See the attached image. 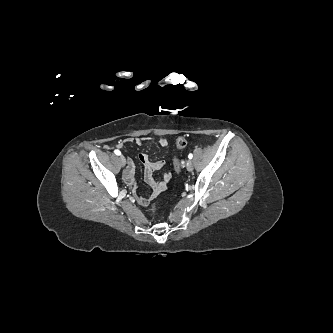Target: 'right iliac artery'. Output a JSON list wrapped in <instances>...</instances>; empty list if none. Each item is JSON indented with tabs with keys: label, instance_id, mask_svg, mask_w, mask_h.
<instances>
[{
	"label": "right iliac artery",
	"instance_id": "1",
	"mask_svg": "<svg viewBox=\"0 0 333 333\" xmlns=\"http://www.w3.org/2000/svg\"><path fill=\"white\" fill-rule=\"evenodd\" d=\"M114 153H115L116 155H121V152H120L119 150H115Z\"/></svg>",
	"mask_w": 333,
	"mask_h": 333
}]
</instances>
